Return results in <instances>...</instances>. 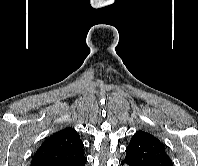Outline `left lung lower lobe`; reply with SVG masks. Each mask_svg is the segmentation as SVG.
Wrapping results in <instances>:
<instances>
[{
	"instance_id": "obj_1",
	"label": "left lung lower lobe",
	"mask_w": 198,
	"mask_h": 166,
	"mask_svg": "<svg viewBox=\"0 0 198 166\" xmlns=\"http://www.w3.org/2000/svg\"><path fill=\"white\" fill-rule=\"evenodd\" d=\"M121 165L123 166V165H129V166H133L132 164H130L129 162H127V161H123V162H121Z\"/></svg>"
}]
</instances>
